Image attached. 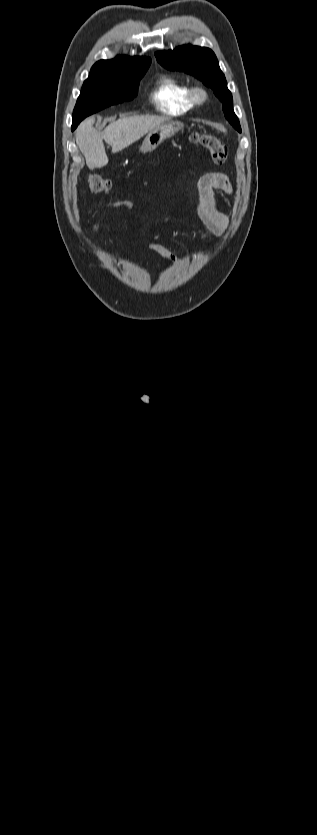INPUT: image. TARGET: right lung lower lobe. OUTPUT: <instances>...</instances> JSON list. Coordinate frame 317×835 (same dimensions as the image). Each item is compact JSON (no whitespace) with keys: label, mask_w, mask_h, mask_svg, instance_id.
Masks as SVG:
<instances>
[{"label":"right lung lower lobe","mask_w":317,"mask_h":835,"mask_svg":"<svg viewBox=\"0 0 317 835\" xmlns=\"http://www.w3.org/2000/svg\"><path fill=\"white\" fill-rule=\"evenodd\" d=\"M75 128H76V127H73V128H72V131H73Z\"/></svg>","instance_id":"right-lung-lower-lobe-1"}]
</instances>
